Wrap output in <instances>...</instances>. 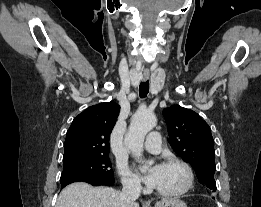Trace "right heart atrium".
I'll list each match as a JSON object with an SVG mask.
<instances>
[{"label":"right heart atrium","instance_id":"d8ad5b80","mask_svg":"<svg viewBox=\"0 0 261 207\" xmlns=\"http://www.w3.org/2000/svg\"><path fill=\"white\" fill-rule=\"evenodd\" d=\"M119 174L121 176L122 184L129 190H140L141 182L137 175H135L126 164L121 163L118 166Z\"/></svg>","mask_w":261,"mask_h":207}]
</instances>
